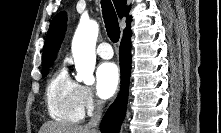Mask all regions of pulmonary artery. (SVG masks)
I'll return each mask as SVG.
<instances>
[{"label":"pulmonary artery","mask_w":221,"mask_h":133,"mask_svg":"<svg viewBox=\"0 0 221 133\" xmlns=\"http://www.w3.org/2000/svg\"><path fill=\"white\" fill-rule=\"evenodd\" d=\"M97 54L103 59H111L113 57L111 45L107 42H102L97 47Z\"/></svg>","instance_id":"obj_1"}]
</instances>
